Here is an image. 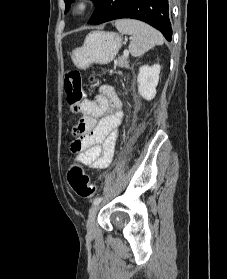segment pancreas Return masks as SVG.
<instances>
[{"label": "pancreas", "mask_w": 227, "mask_h": 279, "mask_svg": "<svg viewBox=\"0 0 227 279\" xmlns=\"http://www.w3.org/2000/svg\"><path fill=\"white\" fill-rule=\"evenodd\" d=\"M117 65L122 68H127V69L129 68V63L125 58H120Z\"/></svg>", "instance_id": "1"}]
</instances>
